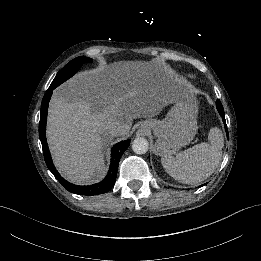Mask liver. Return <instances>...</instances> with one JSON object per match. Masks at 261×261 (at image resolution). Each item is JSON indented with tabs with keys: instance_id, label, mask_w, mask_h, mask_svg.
Returning <instances> with one entry per match:
<instances>
[{
	"instance_id": "1",
	"label": "liver",
	"mask_w": 261,
	"mask_h": 261,
	"mask_svg": "<svg viewBox=\"0 0 261 261\" xmlns=\"http://www.w3.org/2000/svg\"><path fill=\"white\" fill-rule=\"evenodd\" d=\"M146 64L79 72L50 100L47 141L58 171L70 182L91 185L107 173L103 150L113 141L117 122L128 136L133 119L154 117L171 104L185 80Z\"/></svg>"
}]
</instances>
